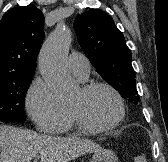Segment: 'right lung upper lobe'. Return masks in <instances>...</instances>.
Returning <instances> with one entry per match:
<instances>
[{
	"instance_id": "1",
	"label": "right lung upper lobe",
	"mask_w": 168,
	"mask_h": 162,
	"mask_svg": "<svg viewBox=\"0 0 168 162\" xmlns=\"http://www.w3.org/2000/svg\"><path fill=\"white\" fill-rule=\"evenodd\" d=\"M44 17L35 6L16 7L0 21V80L34 73L44 39Z\"/></svg>"
}]
</instances>
